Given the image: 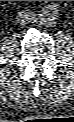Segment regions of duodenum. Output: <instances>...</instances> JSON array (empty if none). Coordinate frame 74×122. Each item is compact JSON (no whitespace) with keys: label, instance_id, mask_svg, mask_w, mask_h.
I'll return each instance as SVG.
<instances>
[{"label":"duodenum","instance_id":"1","mask_svg":"<svg viewBox=\"0 0 74 122\" xmlns=\"http://www.w3.org/2000/svg\"><path fill=\"white\" fill-rule=\"evenodd\" d=\"M42 17H43V16H42V15H40V16H39V19H41Z\"/></svg>","mask_w":74,"mask_h":122}]
</instances>
